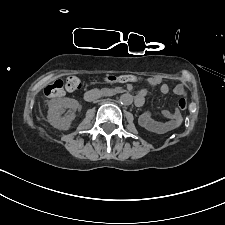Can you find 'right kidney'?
Wrapping results in <instances>:
<instances>
[{
  "label": "right kidney",
  "instance_id": "1",
  "mask_svg": "<svg viewBox=\"0 0 225 225\" xmlns=\"http://www.w3.org/2000/svg\"><path fill=\"white\" fill-rule=\"evenodd\" d=\"M78 107V101L71 98H57L49 102L48 122L59 130H68L72 120L75 118L73 113ZM65 108H69L71 114L61 117Z\"/></svg>",
  "mask_w": 225,
  "mask_h": 225
}]
</instances>
